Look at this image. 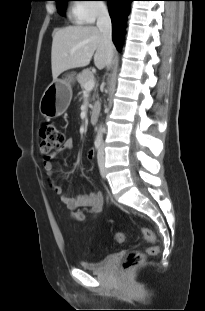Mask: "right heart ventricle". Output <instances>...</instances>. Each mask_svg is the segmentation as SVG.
I'll list each match as a JSON object with an SVG mask.
<instances>
[{
    "instance_id": "1",
    "label": "right heart ventricle",
    "mask_w": 205,
    "mask_h": 311,
    "mask_svg": "<svg viewBox=\"0 0 205 311\" xmlns=\"http://www.w3.org/2000/svg\"><path fill=\"white\" fill-rule=\"evenodd\" d=\"M73 17L75 18V20H77L78 22H82L80 17H79V14L78 12L76 11V9H74L73 11Z\"/></svg>"
}]
</instances>
